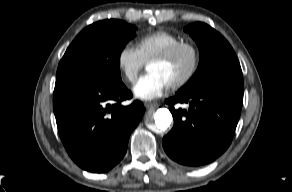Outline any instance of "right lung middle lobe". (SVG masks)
Segmentation results:
<instances>
[{
	"label": "right lung middle lobe",
	"instance_id": "1",
	"mask_svg": "<svg viewBox=\"0 0 292 192\" xmlns=\"http://www.w3.org/2000/svg\"><path fill=\"white\" fill-rule=\"evenodd\" d=\"M136 27L121 20H103L83 29L61 59L57 75L90 76L103 83L119 86L120 54L135 35Z\"/></svg>",
	"mask_w": 292,
	"mask_h": 192
}]
</instances>
